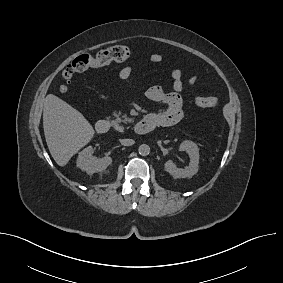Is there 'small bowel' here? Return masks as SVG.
<instances>
[{
  "mask_svg": "<svg viewBox=\"0 0 283 283\" xmlns=\"http://www.w3.org/2000/svg\"><path fill=\"white\" fill-rule=\"evenodd\" d=\"M164 56L159 53H155L147 57V62L151 64L161 63ZM134 67L129 65L120 70L118 79L120 81H130L133 74ZM173 91L165 92L160 86L149 87L145 96L147 99L153 102H160L164 104V108L157 112H152L146 117L151 119L156 127H168L177 124L184 116L183 103L181 93L186 84L192 86L195 84L196 78L191 77L186 82L183 77V73L180 69H173L172 73Z\"/></svg>",
  "mask_w": 283,
  "mask_h": 283,
  "instance_id": "c3829d8e",
  "label": "small bowel"
}]
</instances>
